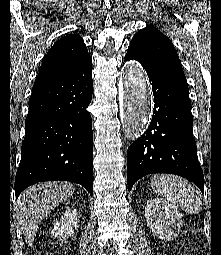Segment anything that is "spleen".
<instances>
[{
    "instance_id": "3e777b00",
    "label": "spleen",
    "mask_w": 221,
    "mask_h": 255,
    "mask_svg": "<svg viewBox=\"0 0 221 255\" xmlns=\"http://www.w3.org/2000/svg\"><path fill=\"white\" fill-rule=\"evenodd\" d=\"M151 187L156 194L181 207L186 213L197 214L202 209L200 192L179 176L154 175Z\"/></svg>"
}]
</instances>
